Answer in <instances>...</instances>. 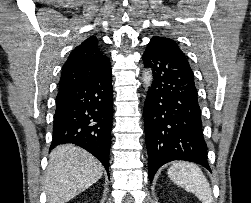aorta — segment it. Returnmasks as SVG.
<instances>
[{
	"label": "aorta",
	"instance_id": "obj_1",
	"mask_svg": "<svg viewBox=\"0 0 251 203\" xmlns=\"http://www.w3.org/2000/svg\"><path fill=\"white\" fill-rule=\"evenodd\" d=\"M152 81H153L152 71L147 68L143 71L142 75V82L146 90L151 86Z\"/></svg>",
	"mask_w": 251,
	"mask_h": 203
}]
</instances>
